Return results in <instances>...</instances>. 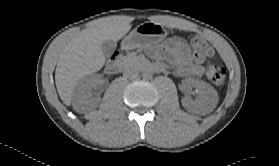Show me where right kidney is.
<instances>
[{"label": "right kidney", "mask_w": 279, "mask_h": 166, "mask_svg": "<svg viewBox=\"0 0 279 166\" xmlns=\"http://www.w3.org/2000/svg\"><path fill=\"white\" fill-rule=\"evenodd\" d=\"M100 83V78L91 76L81 81L75 89V100L84 106L93 99L92 90Z\"/></svg>", "instance_id": "right-kidney-1"}]
</instances>
